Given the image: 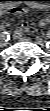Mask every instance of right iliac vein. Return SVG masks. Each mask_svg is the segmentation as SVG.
Wrapping results in <instances>:
<instances>
[{
	"instance_id": "obj_1",
	"label": "right iliac vein",
	"mask_w": 50,
	"mask_h": 111,
	"mask_svg": "<svg viewBox=\"0 0 50 111\" xmlns=\"http://www.w3.org/2000/svg\"><path fill=\"white\" fill-rule=\"evenodd\" d=\"M7 44V40L5 38V36H1L0 38V45L1 46H5Z\"/></svg>"
}]
</instances>
